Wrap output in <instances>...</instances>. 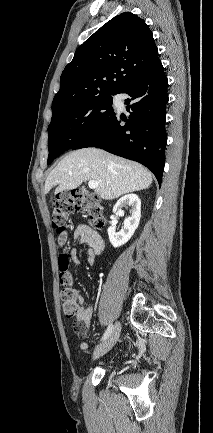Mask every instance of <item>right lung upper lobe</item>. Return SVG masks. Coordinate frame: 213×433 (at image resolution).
I'll return each instance as SVG.
<instances>
[{"label": "right lung upper lobe", "instance_id": "obj_1", "mask_svg": "<svg viewBox=\"0 0 213 433\" xmlns=\"http://www.w3.org/2000/svg\"><path fill=\"white\" fill-rule=\"evenodd\" d=\"M157 58L153 34L144 20L130 12L115 16L76 50L63 70L52 115L96 96L121 93Z\"/></svg>", "mask_w": 213, "mask_h": 433}]
</instances>
